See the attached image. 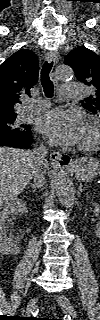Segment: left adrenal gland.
I'll return each mask as SVG.
<instances>
[{"instance_id": "a2214340", "label": "left adrenal gland", "mask_w": 100, "mask_h": 320, "mask_svg": "<svg viewBox=\"0 0 100 320\" xmlns=\"http://www.w3.org/2000/svg\"><path fill=\"white\" fill-rule=\"evenodd\" d=\"M86 188H87V187H83L82 184H79L78 191H77L78 197H80L81 193H82L83 190H85Z\"/></svg>"}]
</instances>
